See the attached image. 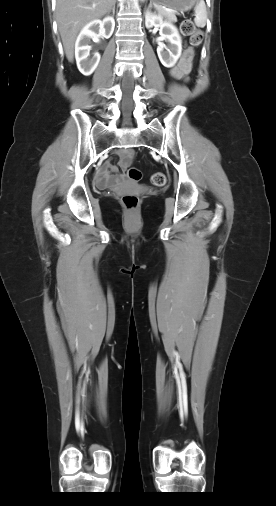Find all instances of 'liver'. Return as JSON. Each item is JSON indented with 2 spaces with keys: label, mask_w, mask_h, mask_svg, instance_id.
<instances>
[{
  "label": "liver",
  "mask_w": 276,
  "mask_h": 506,
  "mask_svg": "<svg viewBox=\"0 0 276 506\" xmlns=\"http://www.w3.org/2000/svg\"><path fill=\"white\" fill-rule=\"evenodd\" d=\"M115 0H57L56 17L68 61L74 59V43L80 29L109 13Z\"/></svg>",
  "instance_id": "6515ba94"
}]
</instances>
